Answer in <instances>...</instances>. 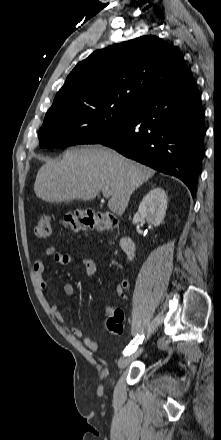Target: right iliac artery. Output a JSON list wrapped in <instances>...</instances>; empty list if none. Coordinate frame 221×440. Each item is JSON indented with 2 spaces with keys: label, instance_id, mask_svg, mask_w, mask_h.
I'll list each match as a JSON object with an SVG mask.
<instances>
[{
  "label": "right iliac artery",
  "instance_id": "82829eb1",
  "mask_svg": "<svg viewBox=\"0 0 221 440\" xmlns=\"http://www.w3.org/2000/svg\"><path fill=\"white\" fill-rule=\"evenodd\" d=\"M144 335L136 336L129 344V346L124 350V355H130L136 351L138 345L142 343Z\"/></svg>",
  "mask_w": 221,
  "mask_h": 440
}]
</instances>
